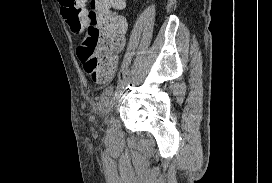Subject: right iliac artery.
Masks as SVG:
<instances>
[{
    "label": "right iliac artery",
    "mask_w": 272,
    "mask_h": 183,
    "mask_svg": "<svg viewBox=\"0 0 272 183\" xmlns=\"http://www.w3.org/2000/svg\"><path fill=\"white\" fill-rule=\"evenodd\" d=\"M112 91H113V86H112V85L108 86V87L103 91L101 98L104 99V98H106L107 96L111 95Z\"/></svg>",
    "instance_id": "right-iliac-artery-1"
}]
</instances>
